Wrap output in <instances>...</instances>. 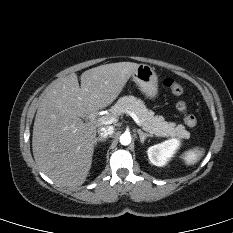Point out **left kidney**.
Masks as SVG:
<instances>
[{"label": "left kidney", "mask_w": 233, "mask_h": 233, "mask_svg": "<svg viewBox=\"0 0 233 233\" xmlns=\"http://www.w3.org/2000/svg\"><path fill=\"white\" fill-rule=\"evenodd\" d=\"M179 145L180 142L177 139H170L161 144L151 146L147 151L149 160L156 166H164Z\"/></svg>", "instance_id": "1"}]
</instances>
